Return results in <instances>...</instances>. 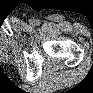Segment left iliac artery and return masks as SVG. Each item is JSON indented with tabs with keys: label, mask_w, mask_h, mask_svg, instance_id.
<instances>
[{
	"label": "left iliac artery",
	"mask_w": 93,
	"mask_h": 93,
	"mask_svg": "<svg viewBox=\"0 0 93 93\" xmlns=\"http://www.w3.org/2000/svg\"><path fill=\"white\" fill-rule=\"evenodd\" d=\"M36 24H37V25H40V20H37V21H36Z\"/></svg>",
	"instance_id": "obj_1"
}]
</instances>
